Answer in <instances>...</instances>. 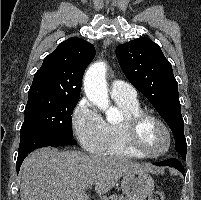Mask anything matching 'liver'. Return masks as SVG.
Segmentation results:
<instances>
[{"mask_svg":"<svg viewBox=\"0 0 201 200\" xmlns=\"http://www.w3.org/2000/svg\"><path fill=\"white\" fill-rule=\"evenodd\" d=\"M152 171L149 165L125 158L88 155L44 147L32 152L21 167V200H88L87 185L105 194L132 172Z\"/></svg>","mask_w":201,"mask_h":200,"instance_id":"obj_1","label":"liver"}]
</instances>
